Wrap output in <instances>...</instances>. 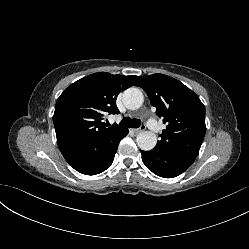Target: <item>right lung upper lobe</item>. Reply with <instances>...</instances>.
Listing matches in <instances>:
<instances>
[{
  "mask_svg": "<svg viewBox=\"0 0 249 249\" xmlns=\"http://www.w3.org/2000/svg\"><path fill=\"white\" fill-rule=\"evenodd\" d=\"M139 76L94 73L71 84L58 98L53 122L57 142L88 141L123 130L108 127L102 120L106 113L118 114V94L133 86Z\"/></svg>",
  "mask_w": 249,
  "mask_h": 249,
  "instance_id": "right-lung-upper-lobe-1",
  "label": "right lung upper lobe"
}]
</instances>
